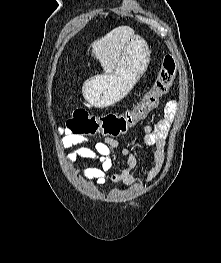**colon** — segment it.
<instances>
[{
    "instance_id": "colon-1",
    "label": "colon",
    "mask_w": 221,
    "mask_h": 263,
    "mask_svg": "<svg viewBox=\"0 0 221 263\" xmlns=\"http://www.w3.org/2000/svg\"><path fill=\"white\" fill-rule=\"evenodd\" d=\"M176 73V63L171 55L165 56L156 79L142 100L122 112L94 115L84 109H76L66 122L67 129L76 135L117 137L136 127L156 109L169 92Z\"/></svg>"
}]
</instances>
